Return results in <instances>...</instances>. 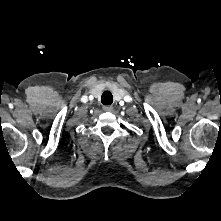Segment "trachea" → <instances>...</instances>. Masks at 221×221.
<instances>
[{
	"label": "trachea",
	"instance_id": "3493384b",
	"mask_svg": "<svg viewBox=\"0 0 221 221\" xmlns=\"http://www.w3.org/2000/svg\"><path fill=\"white\" fill-rule=\"evenodd\" d=\"M101 102L104 105H110L113 102V95L110 91H105L101 96Z\"/></svg>",
	"mask_w": 221,
	"mask_h": 221
}]
</instances>
